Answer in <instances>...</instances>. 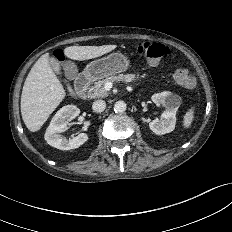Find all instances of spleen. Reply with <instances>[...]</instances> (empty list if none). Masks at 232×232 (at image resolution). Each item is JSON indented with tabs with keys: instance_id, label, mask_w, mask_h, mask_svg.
I'll return each instance as SVG.
<instances>
[{
	"instance_id": "spleen-1",
	"label": "spleen",
	"mask_w": 232,
	"mask_h": 232,
	"mask_svg": "<svg viewBox=\"0 0 232 232\" xmlns=\"http://www.w3.org/2000/svg\"><path fill=\"white\" fill-rule=\"evenodd\" d=\"M193 109H190L187 113H186V115H185V117H184V126L187 128V127H189L190 125H191V122H192V120H193Z\"/></svg>"
}]
</instances>
